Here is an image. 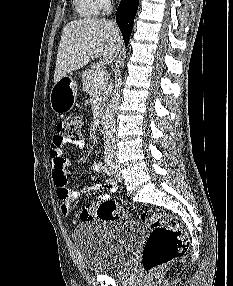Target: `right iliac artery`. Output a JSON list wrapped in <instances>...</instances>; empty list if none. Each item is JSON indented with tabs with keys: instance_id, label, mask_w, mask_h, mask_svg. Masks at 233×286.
Returning a JSON list of instances; mask_svg holds the SVG:
<instances>
[{
	"instance_id": "right-iliac-artery-1",
	"label": "right iliac artery",
	"mask_w": 233,
	"mask_h": 286,
	"mask_svg": "<svg viewBox=\"0 0 233 286\" xmlns=\"http://www.w3.org/2000/svg\"><path fill=\"white\" fill-rule=\"evenodd\" d=\"M112 153H113V150H112V147L111 146H106L105 148V164L107 166H109L111 164V161H112Z\"/></svg>"
}]
</instances>
